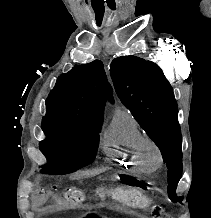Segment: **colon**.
<instances>
[{"label":"colon","mask_w":211,"mask_h":218,"mask_svg":"<svg viewBox=\"0 0 211 218\" xmlns=\"http://www.w3.org/2000/svg\"><path fill=\"white\" fill-rule=\"evenodd\" d=\"M57 187H52L51 191L56 192ZM94 194L102 198H111L118 202L133 207L144 208L152 204V198L147 194L146 189L140 186H100L92 190ZM87 191L80 187H70L61 193V197L67 201H81L85 198ZM168 218V216H166Z\"/></svg>","instance_id":"obj_1"}]
</instances>
